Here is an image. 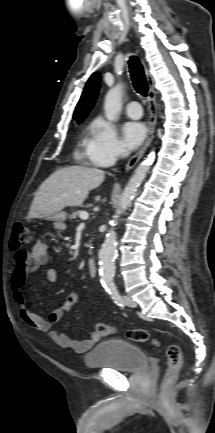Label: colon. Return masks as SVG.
Instances as JSON below:
<instances>
[{
    "mask_svg": "<svg viewBox=\"0 0 215 433\" xmlns=\"http://www.w3.org/2000/svg\"><path fill=\"white\" fill-rule=\"evenodd\" d=\"M30 241L31 234L29 228L21 222H16L12 229L10 243L11 247L13 249H18L29 244ZM95 330L100 336H108L117 332L115 327L109 326L102 322L96 323ZM125 335L128 339L135 342H146L151 339L149 332L145 329H128L125 332ZM166 358L168 365L164 378V387L170 384L180 372L182 366V357L179 346L176 344L168 345L166 348Z\"/></svg>",
    "mask_w": 215,
    "mask_h": 433,
    "instance_id": "colon-1",
    "label": "colon"
}]
</instances>
